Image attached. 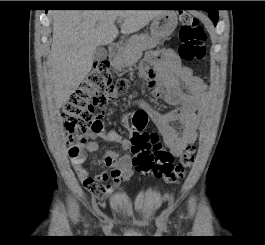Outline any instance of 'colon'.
<instances>
[{
    "instance_id": "colon-1",
    "label": "colon",
    "mask_w": 265,
    "mask_h": 245,
    "mask_svg": "<svg viewBox=\"0 0 265 245\" xmlns=\"http://www.w3.org/2000/svg\"><path fill=\"white\" fill-rule=\"evenodd\" d=\"M179 57L183 61H199L206 56V33L199 20L187 12L179 15ZM146 79L155 77L152 69L142 67ZM128 88L126 81H112L108 60L95 62L92 70L64 104L61 116L69 146V158L82 164L83 147L81 140L88 130L99 132L103 123L95 114L97 108L110 106ZM148 115L138 110L131 118L132 165L136 172L163 178L168 184L179 183L194 162L196 145H188L178 160L162 144L158 136L145 131Z\"/></svg>"
}]
</instances>
